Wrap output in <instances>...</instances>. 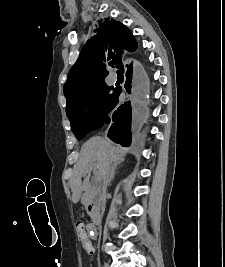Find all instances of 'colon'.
Masks as SVG:
<instances>
[{
  "instance_id": "colon-1",
  "label": "colon",
  "mask_w": 225,
  "mask_h": 267,
  "mask_svg": "<svg viewBox=\"0 0 225 267\" xmlns=\"http://www.w3.org/2000/svg\"><path fill=\"white\" fill-rule=\"evenodd\" d=\"M84 223L82 221H78L76 223V229L77 232L80 233L82 238H85V231H84ZM85 249L89 248V245L87 243H84V245H82Z\"/></svg>"
}]
</instances>
